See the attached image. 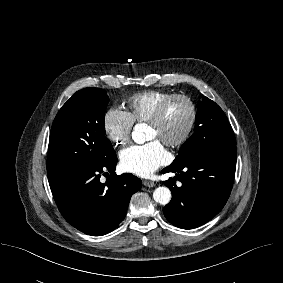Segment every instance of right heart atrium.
Listing matches in <instances>:
<instances>
[{
    "label": "right heart atrium",
    "mask_w": 283,
    "mask_h": 283,
    "mask_svg": "<svg viewBox=\"0 0 283 283\" xmlns=\"http://www.w3.org/2000/svg\"><path fill=\"white\" fill-rule=\"evenodd\" d=\"M103 128L115 146L125 147L130 143L133 122L127 112L110 108L103 117Z\"/></svg>",
    "instance_id": "1"
}]
</instances>
